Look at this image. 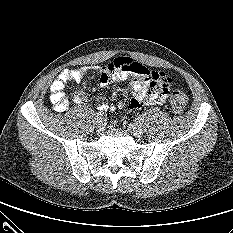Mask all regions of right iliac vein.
I'll use <instances>...</instances> for the list:
<instances>
[{"label":"right iliac vein","mask_w":233,"mask_h":233,"mask_svg":"<svg viewBox=\"0 0 233 233\" xmlns=\"http://www.w3.org/2000/svg\"><path fill=\"white\" fill-rule=\"evenodd\" d=\"M105 128V123L103 122V120H97L95 123V130L97 133H102L104 131Z\"/></svg>","instance_id":"obj_1"}]
</instances>
